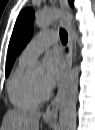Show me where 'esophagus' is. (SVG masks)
Segmentation results:
<instances>
[{
  "label": "esophagus",
  "instance_id": "34e87169",
  "mask_svg": "<svg viewBox=\"0 0 95 130\" xmlns=\"http://www.w3.org/2000/svg\"><path fill=\"white\" fill-rule=\"evenodd\" d=\"M60 8L64 14H67L69 11L68 3L65 0L59 1ZM61 25L66 29L68 34V52L66 53V66L64 69V74L62 78L61 85L58 88V92L56 97L52 100L50 105L47 107L46 112L44 113V120L46 121H52L54 120L55 116L58 113L60 101H61V94H62V84L67 79L71 68H72V62H73V38H72V32H71V21L67 17L63 16L60 19Z\"/></svg>",
  "mask_w": 95,
  "mask_h": 130
}]
</instances>
